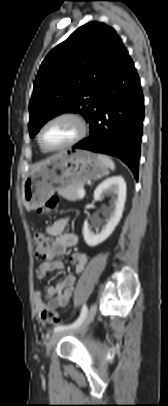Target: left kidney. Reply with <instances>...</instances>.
I'll return each mask as SVG.
<instances>
[{
  "instance_id": "1",
  "label": "left kidney",
  "mask_w": 168,
  "mask_h": 406,
  "mask_svg": "<svg viewBox=\"0 0 168 406\" xmlns=\"http://www.w3.org/2000/svg\"><path fill=\"white\" fill-rule=\"evenodd\" d=\"M104 195L112 197L113 207L109 211V220L102 227L100 233H94L91 228H96L98 223L95 222L91 226L88 222H84L83 236L88 246L94 247L105 241L114 231L119 223L124 210L126 201V183L122 176H113L104 180L94 191V199L101 200Z\"/></svg>"
}]
</instances>
